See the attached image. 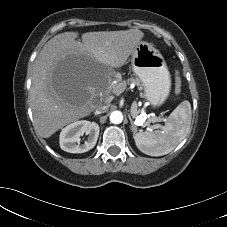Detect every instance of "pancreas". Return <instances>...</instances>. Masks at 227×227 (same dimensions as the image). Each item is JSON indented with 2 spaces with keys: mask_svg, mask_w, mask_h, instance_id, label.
Listing matches in <instances>:
<instances>
[{
  "mask_svg": "<svg viewBox=\"0 0 227 227\" xmlns=\"http://www.w3.org/2000/svg\"><path fill=\"white\" fill-rule=\"evenodd\" d=\"M129 83H134L135 85L138 86V88L140 90L142 89V84H141V82H140V80L138 78H130L127 81H123V82H121L119 84L121 85L122 89H125L126 85L129 84Z\"/></svg>",
  "mask_w": 227,
  "mask_h": 227,
  "instance_id": "obj_1",
  "label": "pancreas"
}]
</instances>
